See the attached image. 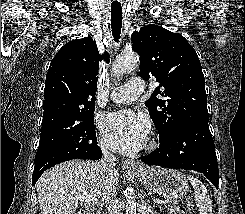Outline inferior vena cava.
<instances>
[{
  "instance_id": "602c4592",
  "label": "inferior vena cava",
  "mask_w": 245,
  "mask_h": 214,
  "mask_svg": "<svg viewBox=\"0 0 245 214\" xmlns=\"http://www.w3.org/2000/svg\"><path fill=\"white\" fill-rule=\"evenodd\" d=\"M100 147L103 152V158L97 163V167L106 173L115 171V156L110 153L102 143ZM106 202L108 204V214H119L117 211L116 188L107 189Z\"/></svg>"
}]
</instances>
